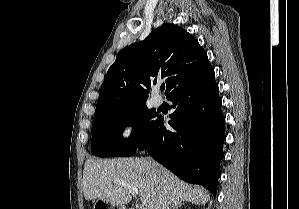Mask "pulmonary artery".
Returning a JSON list of instances; mask_svg holds the SVG:
<instances>
[{"label":"pulmonary artery","mask_w":299,"mask_h":209,"mask_svg":"<svg viewBox=\"0 0 299 209\" xmlns=\"http://www.w3.org/2000/svg\"><path fill=\"white\" fill-rule=\"evenodd\" d=\"M152 103L155 107H159L162 104V99L160 97H153Z\"/></svg>","instance_id":"obj_1"}]
</instances>
